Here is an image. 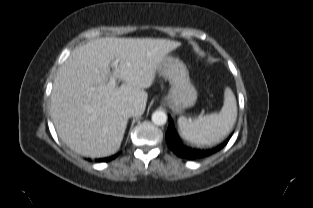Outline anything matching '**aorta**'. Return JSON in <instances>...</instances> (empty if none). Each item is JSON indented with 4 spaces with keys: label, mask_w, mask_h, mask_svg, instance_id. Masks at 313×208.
I'll return each mask as SVG.
<instances>
[{
    "label": "aorta",
    "mask_w": 313,
    "mask_h": 208,
    "mask_svg": "<svg viewBox=\"0 0 313 208\" xmlns=\"http://www.w3.org/2000/svg\"><path fill=\"white\" fill-rule=\"evenodd\" d=\"M152 121L155 125L162 126L167 122V115L163 111H155L152 114Z\"/></svg>",
    "instance_id": "1"
}]
</instances>
